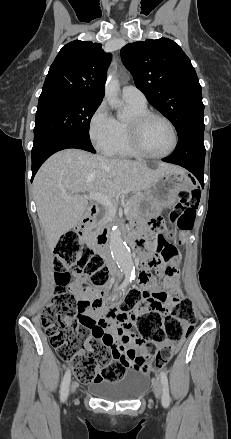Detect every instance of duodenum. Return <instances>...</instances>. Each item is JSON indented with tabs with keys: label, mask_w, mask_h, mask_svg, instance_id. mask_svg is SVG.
Returning a JSON list of instances; mask_svg holds the SVG:
<instances>
[{
	"label": "duodenum",
	"mask_w": 231,
	"mask_h": 439,
	"mask_svg": "<svg viewBox=\"0 0 231 439\" xmlns=\"http://www.w3.org/2000/svg\"><path fill=\"white\" fill-rule=\"evenodd\" d=\"M89 212H90V216H88L82 223V225L79 227V230L84 233L87 234L89 231V226L91 225V223L93 222V219L97 213V206L96 204L92 203L89 205ZM107 236H108V230L104 229L101 233H99L96 236L95 239V245L100 249V250H104V247L106 246V241H107ZM127 238L129 240H132L134 247L138 248L141 243L139 241L133 240L131 238V235L128 234ZM143 254L141 255V260H142Z\"/></svg>",
	"instance_id": "obj_1"
}]
</instances>
